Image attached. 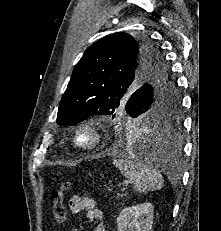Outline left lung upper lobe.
I'll use <instances>...</instances> for the list:
<instances>
[{"mask_svg":"<svg viewBox=\"0 0 221 231\" xmlns=\"http://www.w3.org/2000/svg\"><path fill=\"white\" fill-rule=\"evenodd\" d=\"M123 106L129 115L146 113L160 125L180 120L179 94L161 48L147 37L117 32L88 47L76 64L57 124L75 125L93 115L114 118Z\"/></svg>","mask_w":221,"mask_h":231,"instance_id":"left-lung-upper-lobe-1","label":"left lung upper lobe"}]
</instances>
